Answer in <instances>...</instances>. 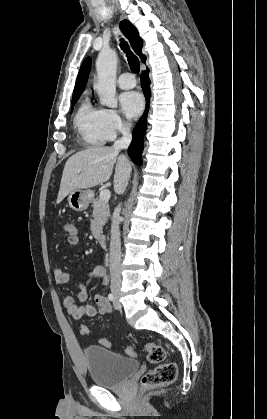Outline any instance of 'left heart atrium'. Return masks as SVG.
<instances>
[{
    "mask_svg": "<svg viewBox=\"0 0 267 419\" xmlns=\"http://www.w3.org/2000/svg\"><path fill=\"white\" fill-rule=\"evenodd\" d=\"M119 102L123 113L128 118L138 116L144 107V99L142 95L136 91L123 92L119 97Z\"/></svg>",
    "mask_w": 267,
    "mask_h": 419,
    "instance_id": "1",
    "label": "left heart atrium"
}]
</instances>
